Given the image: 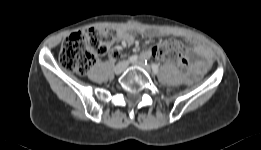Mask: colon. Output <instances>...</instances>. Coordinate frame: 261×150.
Instances as JSON below:
<instances>
[{
  "label": "colon",
  "instance_id": "1",
  "mask_svg": "<svg viewBox=\"0 0 261 150\" xmlns=\"http://www.w3.org/2000/svg\"><path fill=\"white\" fill-rule=\"evenodd\" d=\"M117 32L113 28H86L69 35L62 43L59 60L68 71L86 74L99 57L106 55L115 41ZM152 55L175 62L183 73L188 71V62L180 43L167 39L152 49Z\"/></svg>",
  "mask_w": 261,
  "mask_h": 150
}]
</instances>
